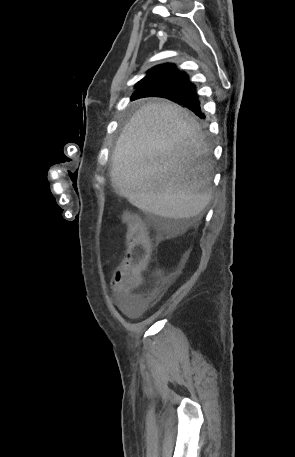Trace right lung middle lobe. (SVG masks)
Instances as JSON below:
<instances>
[{
    "mask_svg": "<svg viewBox=\"0 0 295 457\" xmlns=\"http://www.w3.org/2000/svg\"><path fill=\"white\" fill-rule=\"evenodd\" d=\"M156 94H157V96H160V97L169 98V97L175 95L176 92L173 89H164V90L156 91Z\"/></svg>",
    "mask_w": 295,
    "mask_h": 457,
    "instance_id": "right-lung-middle-lobe-1",
    "label": "right lung middle lobe"
}]
</instances>
